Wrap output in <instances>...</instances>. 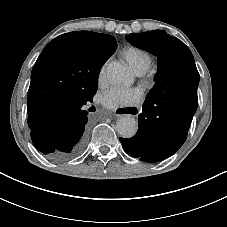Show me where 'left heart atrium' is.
<instances>
[{
    "label": "left heart atrium",
    "instance_id": "left-heart-atrium-1",
    "mask_svg": "<svg viewBox=\"0 0 227 227\" xmlns=\"http://www.w3.org/2000/svg\"><path fill=\"white\" fill-rule=\"evenodd\" d=\"M143 98L144 92L140 88L116 86L104 92L101 101L107 108L117 109L136 106Z\"/></svg>",
    "mask_w": 227,
    "mask_h": 227
}]
</instances>
